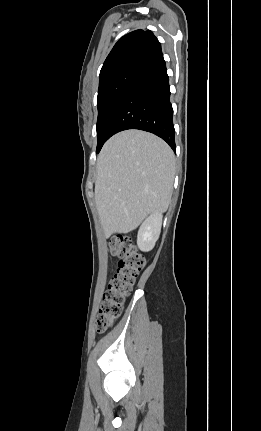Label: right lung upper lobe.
Here are the masks:
<instances>
[{
    "label": "right lung upper lobe",
    "instance_id": "cb5924a9",
    "mask_svg": "<svg viewBox=\"0 0 261 431\" xmlns=\"http://www.w3.org/2000/svg\"><path fill=\"white\" fill-rule=\"evenodd\" d=\"M161 56V44L150 30L130 32L118 40L107 56L100 71L99 85L126 71H141Z\"/></svg>",
    "mask_w": 261,
    "mask_h": 431
}]
</instances>
